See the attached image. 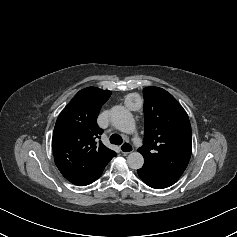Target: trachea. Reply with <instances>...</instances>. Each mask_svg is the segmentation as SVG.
Returning <instances> with one entry per match:
<instances>
[{
	"instance_id": "trachea-1",
	"label": "trachea",
	"mask_w": 237,
	"mask_h": 237,
	"mask_svg": "<svg viewBox=\"0 0 237 237\" xmlns=\"http://www.w3.org/2000/svg\"><path fill=\"white\" fill-rule=\"evenodd\" d=\"M110 142L115 145H121L123 140L120 135L118 134H112L110 137Z\"/></svg>"
}]
</instances>
